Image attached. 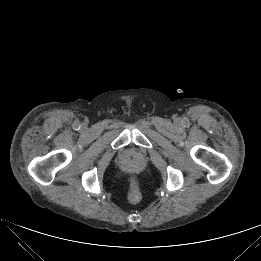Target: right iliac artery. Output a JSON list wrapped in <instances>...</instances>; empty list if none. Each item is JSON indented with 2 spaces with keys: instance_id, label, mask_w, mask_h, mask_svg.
<instances>
[{
  "instance_id": "right-iliac-artery-1",
  "label": "right iliac artery",
  "mask_w": 261,
  "mask_h": 261,
  "mask_svg": "<svg viewBox=\"0 0 261 261\" xmlns=\"http://www.w3.org/2000/svg\"><path fill=\"white\" fill-rule=\"evenodd\" d=\"M79 128H80V125H79V124H75V125H74V129H75V130H78Z\"/></svg>"
}]
</instances>
